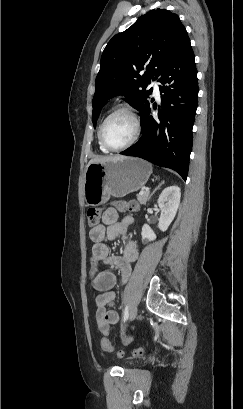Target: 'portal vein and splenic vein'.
I'll return each mask as SVG.
<instances>
[{
	"label": "portal vein and splenic vein",
	"mask_w": 243,
	"mask_h": 409,
	"mask_svg": "<svg viewBox=\"0 0 243 409\" xmlns=\"http://www.w3.org/2000/svg\"><path fill=\"white\" fill-rule=\"evenodd\" d=\"M146 191H149V189H148V188H146Z\"/></svg>",
	"instance_id": "obj_1"
}]
</instances>
